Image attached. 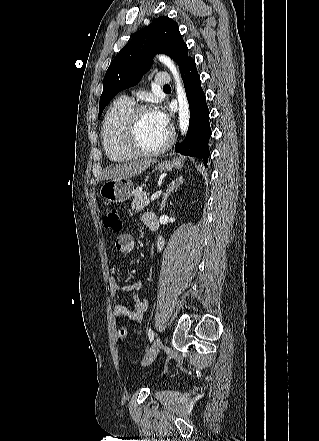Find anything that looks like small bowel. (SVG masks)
Returning a JSON list of instances; mask_svg holds the SVG:
<instances>
[{
    "label": "small bowel",
    "instance_id": "small-bowel-1",
    "mask_svg": "<svg viewBox=\"0 0 319 441\" xmlns=\"http://www.w3.org/2000/svg\"><path fill=\"white\" fill-rule=\"evenodd\" d=\"M143 224L150 228L155 229L158 226L157 217L150 212H147L142 215ZM116 248L122 253H131L135 250V240L134 237L130 234H121L117 237L115 241ZM164 247V240L162 237L158 239L157 248L161 252ZM142 287V283L140 281H136L133 283H121L115 277L111 276L110 278V293L113 297L116 296L118 291H127L132 294V297L135 301L134 309H129L125 304L115 303L113 310L114 314L117 317H126L129 320L140 323L143 321L145 311L147 309V300L139 297L138 292Z\"/></svg>",
    "mask_w": 319,
    "mask_h": 441
}]
</instances>
